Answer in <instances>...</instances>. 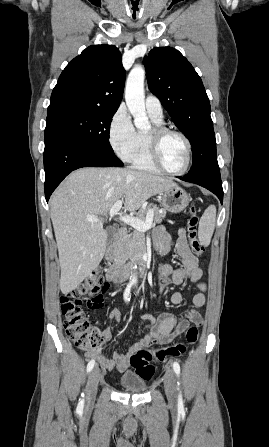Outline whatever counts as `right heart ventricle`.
<instances>
[{
    "label": "right heart ventricle",
    "instance_id": "obj_1",
    "mask_svg": "<svg viewBox=\"0 0 269 447\" xmlns=\"http://www.w3.org/2000/svg\"><path fill=\"white\" fill-rule=\"evenodd\" d=\"M151 118L157 125L162 124V120H157L152 116ZM130 163L137 169L159 171V169L151 162L149 158L146 132H137L135 150L130 158Z\"/></svg>",
    "mask_w": 269,
    "mask_h": 447
}]
</instances>
